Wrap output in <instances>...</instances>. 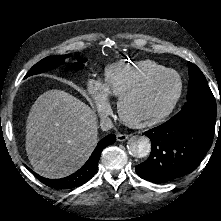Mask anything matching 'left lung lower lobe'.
Listing matches in <instances>:
<instances>
[{"instance_id":"left-lung-lower-lobe-1","label":"left lung lower lobe","mask_w":221,"mask_h":221,"mask_svg":"<svg viewBox=\"0 0 221 221\" xmlns=\"http://www.w3.org/2000/svg\"><path fill=\"white\" fill-rule=\"evenodd\" d=\"M216 113L215 100L196 99L169 121L145 132L152 150L135 167L136 173L150 182L163 183L194 171L212 145Z\"/></svg>"}]
</instances>
